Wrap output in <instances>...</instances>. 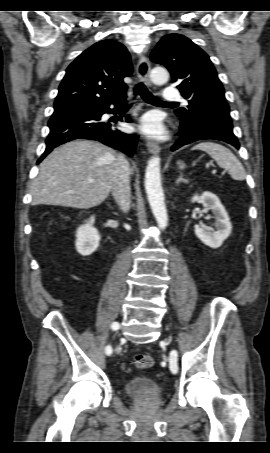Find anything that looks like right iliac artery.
I'll return each instance as SVG.
<instances>
[{"label": "right iliac artery", "mask_w": 270, "mask_h": 453, "mask_svg": "<svg viewBox=\"0 0 270 453\" xmlns=\"http://www.w3.org/2000/svg\"><path fill=\"white\" fill-rule=\"evenodd\" d=\"M111 328L113 330H117L119 328V323L118 322H114L112 325H111ZM105 352L107 355H111L113 350H112V347L110 345H108L105 349Z\"/></svg>", "instance_id": "1"}]
</instances>
